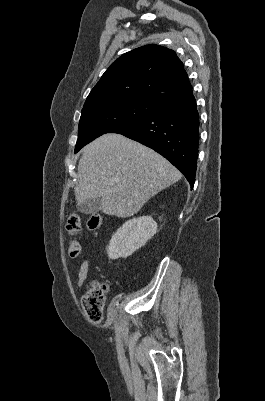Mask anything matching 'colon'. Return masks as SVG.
<instances>
[{"mask_svg": "<svg viewBox=\"0 0 265 401\" xmlns=\"http://www.w3.org/2000/svg\"><path fill=\"white\" fill-rule=\"evenodd\" d=\"M102 217L98 213H92L88 220L87 226L90 230H96L100 227ZM67 232L76 237L81 230V217L78 213H71L66 222ZM80 243L77 239H73L69 243L68 252L71 257H77L80 254ZM108 285L106 283L94 281L88 291L83 295L81 303L86 318L94 324L99 323L103 318L106 293Z\"/></svg>", "mask_w": 265, "mask_h": 401, "instance_id": "colon-1", "label": "colon"}]
</instances>
